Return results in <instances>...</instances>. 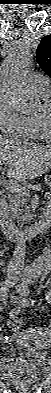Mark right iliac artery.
I'll return each mask as SVG.
<instances>
[{
	"label": "right iliac artery",
	"instance_id": "right-iliac-artery-1",
	"mask_svg": "<svg viewBox=\"0 0 51 393\" xmlns=\"http://www.w3.org/2000/svg\"><path fill=\"white\" fill-rule=\"evenodd\" d=\"M9 279H6L5 281L2 282L1 288H0V298L1 300L5 303L7 300V294H8V287H9Z\"/></svg>",
	"mask_w": 51,
	"mask_h": 393
}]
</instances>
